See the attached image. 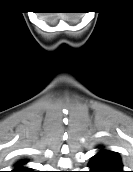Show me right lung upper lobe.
<instances>
[{"mask_svg":"<svg viewBox=\"0 0 133 172\" xmlns=\"http://www.w3.org/2000/svg\"><path fill=\"white\" fill-rule=\"evenodd\" d=\"M27 163L26 160L19 161L14 165V169L11 172H36L31 168L25 167L24 165Z\"/></svg>","mask_w":133,"mask_h":172,"instance_id":"right-lung-upper-lobe-1","label":"right lung upper lobe"}]
</instances>
